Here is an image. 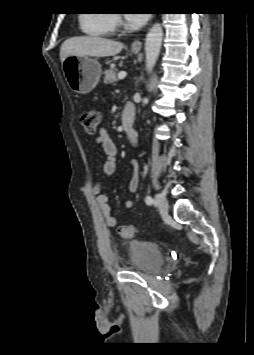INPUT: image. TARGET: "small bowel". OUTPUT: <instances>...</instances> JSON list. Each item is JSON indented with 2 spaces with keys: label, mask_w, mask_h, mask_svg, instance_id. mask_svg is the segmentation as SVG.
Returning a JSON list of instances; mask_svg holds the SVG:
<instances>
[{
  "label": "small bowel",
  "mask_w": 254,
  "mask_h": 355,
  "mask_svg": "<svg viewBox=\"0 0 254 355\" xmlns=\"http://www.w3.org/2000/svg\"><path fill=\"white\" fill-rule=\"evenodd\" d=\"M125 111V108H124ZM123 111V112H124ZM135 112V110H133ZM129 138L131 140L135 139L134 133L130 134ZM95 144L99 146L104 154L106 155V160L103 164L102 170L105 175H112L117 168V153L118 149L114 140L110 137L108 132L101 128L95 140ZM133 167V175L129 182V191L131 193L136 192L139 184V166L136 160L131 161ZM92 194L96 197V201L101 213L104 216L106 225L108 227H115L117 224V219L111 214V206L108 201V197L102 192V185L100 183L93 184L91 188ZM133 206L132 200L125 201V207L131 208Z\"/></svg>",
  "instance_id": "1"
}]
</instances>
